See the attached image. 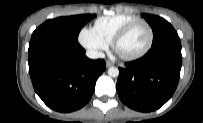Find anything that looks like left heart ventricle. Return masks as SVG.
I'll use <instances>...</instances> for the list:
<instances>
[{
  "label": "left heart ventricle",
  "mask_w": 203,
  "mask_h": 123,
  "mask_svg": "<svg viewBox=\"0 0 203 123\" xmlns=\"http://www.w3.org/2000/svg\"><path fill=\"white\" fill-rule=\"evenodd\" d=\"M149 32L145 25L135 26L119 43L118 50L122 54L131 55L140 52L146 46Z\"/></svg>",
  "instance_id": "obj_1"
}]
</instances>
